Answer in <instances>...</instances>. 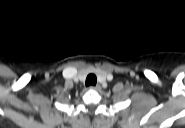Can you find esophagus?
<instances>
[{
	"label": "esophagus",
	"mask_w": 185,
	"mask_h": 128,
	"mask_svg": "<svg viewBox=\"0 0 185 128\" xmlns=\"http://www.w3.org/2000/svg\"><path fill=\"white\" fill-rule=\"evenodd\" d=\"M90 89L100 90L101 87H100V85H95V86H90Z\"/></svg>",
	"instance_id": "34e87169"
}]
</instances>
